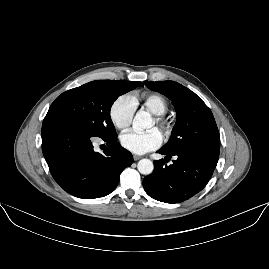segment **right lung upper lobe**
Returning <instances> with one entry per match:
<instances>
[{
	"mask_svg": "<svg viewBox=\"0 0 269 269\" xmlns=\"http://www.w3.org/2000/svg\"><path fill=\"white\" fill-rule=\"evenodd\" d=\"M102 81L109 82V83H125V82H130V81H125V80H102Z\"/></svg>",
	"mask_w": 269,
	"mask_h": 269,
	"instance_id": "obj_1",
	"label": "right lung upper lobe"
}]
</instances>
